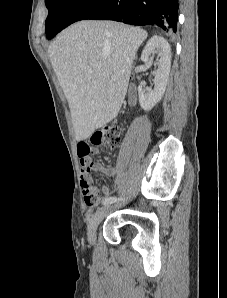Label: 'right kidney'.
<instances>
[{"mask_svg":"<svg viewBox=\"0 0 227 298\" xmlns=\"http://www.w3.org/2000/svg\"><path fill=\"white\" fill-rule=\"evenodd\" d=\"M157 55L158 69L155 72L154 89L145 92L142 84L138 87L139 103L145 111L151 110L158 103L166 90L171 67V48L169 43L160 36H153L146 44L141 60L148 62L150 56Z\"/></svg>","mask_w":227,"mask_h":298,"instance_id":"right-kidney-1","label":"right kidney"}]
</instances>
